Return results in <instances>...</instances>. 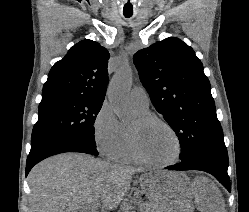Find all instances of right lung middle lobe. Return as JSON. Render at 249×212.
I'll return each mask as SVG.
<instances>
[{
  "instance_id": "dd1d6c3e",
  "label": "right lung middle lobe",
  "mask_w": 249,
  "mask_h": 212,
  "mask_svg": "<svg viewBox=\"0 0 249 212\" xmlns=\"http://www.w3.org/2000/svg\"><path fill=\"white\" fill-rule=\"evenodd\" d=\"M101 107L102 101L81 95L42 97L31 142L49 136L69 135L96 149L93 125Z\"/></svg>"
}]
</instances>
